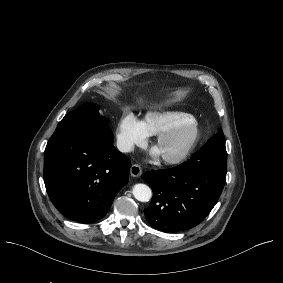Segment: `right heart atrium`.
Wrapping results in <instances>:
<instances>
[{"label":"right heart atrium","mask_w":283,"mask_h":283,"mask_svg":"<svg viewBox=\"0 0 283 283\" xmlns=\"http://www.w3.org/2000/svg\"><path fill=\"white\" fill-rule=\"evenodd\" d=\"M141 123L132 112L119 114L114 125V138L121 151L130 152L135 146L144 144L146 140L141 134Z\"/></svg>","instance_id":"obj_1"}]
</instances>
